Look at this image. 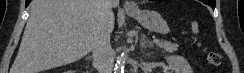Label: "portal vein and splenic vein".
Returning a JSON list of instances; mask_svg holds the SVG:
<instances>
[{"label":"portal vein and splenic vein","instance_id":"18ae733b","mask_svg":"<svg viewBox=\"0 0 244 73\" xmlns=\"http://www.w3.org/2000/svg\"><path fill=\"white\" fill-rule=\"evenodd\" d=\"M153 42L157 44V43L160 42V40L159 39H154Z\"/></svg>","mask_w":244,"mask_h":73}]
</instances>
